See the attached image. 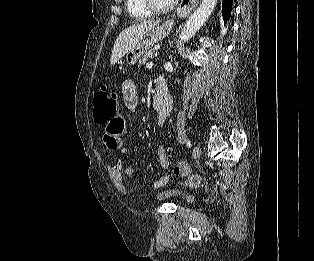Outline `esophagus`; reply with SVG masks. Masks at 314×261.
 <instances>
[{"mask_svg": "<svg viewBox=\"0 0 314 261\" xmlns=\"http://www.w3.org/2000/svg\"><path fill=\"white\" fill-rule=\"evenodd\" d=\"M198 0H189V4H179L177 8V12L188 15L192 12V10L197 6Z\"/></svg>", "mask_w": 314, "mask_h": 261, "instance_id": "obj_1", "label": "esophagus"}]
</instances>
